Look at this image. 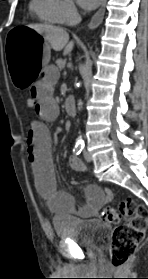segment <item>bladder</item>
Instances as JSON below:
<instances>
[{
    "instance_id": "bladder-1",
    "label": "bladder",
    "mask_w": 148,
    "mask_h": 279,
    "mask_svg": "<svg viewBox=\"0 0 148 279\" xmlns=\"http://www.w3.org/2000/svg\"><path fill=\"white\" fill-rule=\"evenodd\" d=\"M52 223L59 239L86 247H94L104 241L110 230L109 225L100 220L74 216H55Z\"/></svg>"
}]
</instances>
